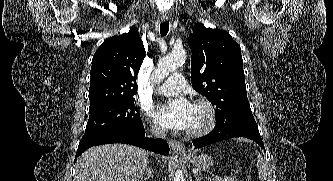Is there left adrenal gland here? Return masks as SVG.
Here are the masks:
<instances>
[{
	"label": "left adrenal gland",
	"instance_id": "a2214340",
	"mask_svg": "<svg viewBox=\"0 0 333 181\" xmlns=\"http://www.w3.org/2000/svg\"><path fill=\"white\" fill-rule=\"evenodd\" d=\"M196 181H202L203 177L199 176L198 174H194Z\"/></svg>",
	"mask_w": 333,
	"mask_h": 181
}]
</instances>
